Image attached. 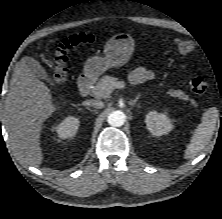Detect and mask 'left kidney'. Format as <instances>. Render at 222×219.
Instances as JSON below:
<instances>
[{
    "label": "left kidney",
    "mask_w": 222,
    "mask_h": 219,
    "mask_svg": "<svg viewBox=\"0 0 222 219\" xmlns=\"http://www.w3.org/2000/svg\"><path fill=\"white\" fill-rule=\"evenodd\" d=\"M147 129L154 136H162L169 133L172 128V122L166 113H158L157 111H150L145 118Z\"/></svg>",
    "instance_id": "obj_1"
}]
</instances>
